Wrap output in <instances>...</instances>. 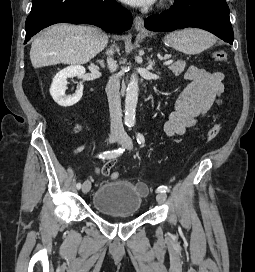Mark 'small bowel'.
<instances>
[{"instance_id": "obj_1", "label": "small bowel", "mask_w": 255, "mask_h": 272, "mask_svg": "<svg viewBox=\"0 0 255 272\" xmlns=\"http://www.w3.org/2000/svg\"><path fill=\"white\" fill-rule=\"evenodd\" d=\"M185 78L190 84L177 95L174 109L168 113L164 125L165 133L169 137L184 134L209 110L223 103L225 75L222 72H210L190 66ZM113 166L114 159L110 158L102 168L96 167L95 172L107 177Z\"/></svg>"}]
</instances>
